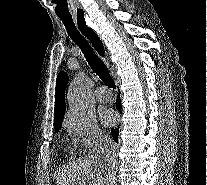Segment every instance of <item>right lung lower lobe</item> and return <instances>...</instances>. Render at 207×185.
Instances as JSON below:
<instances>
[{
    "label": "right lung lower lobe",
    "instance_id": "obj_1",
    "mask_svg": "<svg viewBox=\"0 0 207 185\" xmlns=\"http://www.w3.org/2000/svg\"><path fill=\"white\" fill-rule=\"evenodd\" d=\"M116 108L118 111L121 112V100H120V97L117 98V102H116ZM112 136L114 138V140L117 142L118 141V128H115V129H112Z\"/></svg>",
    "mask_w": 207,
    "mask_h": 185
}]
</instances>
